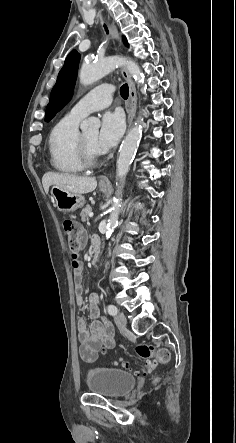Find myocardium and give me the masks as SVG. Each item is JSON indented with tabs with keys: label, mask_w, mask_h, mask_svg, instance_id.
I'll return each mask as SVG.
<instances>
[{
	"label": "myocardium",
	"mask_w": 236,
	"mask_h": 443,
	"mask_svg": "<svg viewBox=\"0 0 236 443\" xmlns=\"http://www.w3.org/2000/svg\"><path fill=\"white\" fill-rule=\"evenodd\" d=\"M77 150L83 167H93L97 164L99 154L89 148L82 133L78 135Z\"/></svg>",
	"instance_id": "obj_1"
}]
</instances>
